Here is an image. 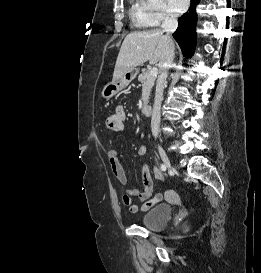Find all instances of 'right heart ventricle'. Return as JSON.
I'll list each match as a JSON object with an SVG mask.
<instances>
[{"label":"right heart ventricle","mask_w":261,"mask_h":273,"mask_svg":"<svg viewBox=\"0 0 261 273\" xmlns=\"http://www.w3.org/2000/svg\"><path fill=\"white\" fill-rule=\"evenodd\" d=\"M131 16L132 19L139 25H142L141 23V13L139 9V2L138 0H133V5L131 9Z\"/></svg>","instance_id":"obj_1"}]
</instances>
